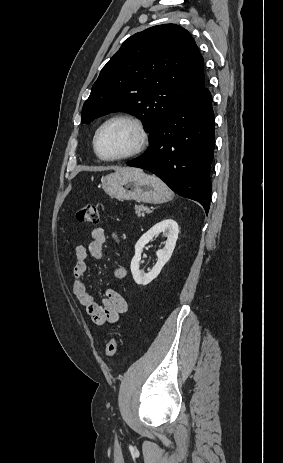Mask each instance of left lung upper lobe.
I'll return each mask as SVG.
<instances>
[{"instance_id": "left-lung-upper-lobe-1", "label": "left lung upper lobe", "mask_w": 283, "mask_h": 463, "mask_svg": "<svg viewBox=\"0 0 283 463\" xmlns=\"http://www.w3.org/2000/svg\"><path fill=\"white\" fill-rule=\"evenodd\" d=\"M203 57L175 24L134 34L103 67L82 110V123L124 111L144 121L152 136L185 98L204 86Z\"/></svg>"}]
</instances>
